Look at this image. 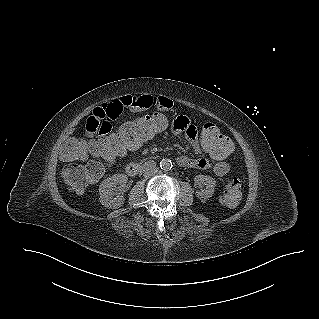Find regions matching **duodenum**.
Instances as JSON below:
<instances>
[{"instance_id": "410a0bca", "label": "duodenum", "mask_w": 319, "mask_h": 319, "mask_svg": "<svg viewBox=\"0 0 319 319\" xmlns=\"http://www.w3.org/2000/svg\"><path fill=\"white\" fill-rule=\"evenodd\" d=\"M155 163L153 161H147L145 163L130 162L126 165V172L129 176H137L144 171L154 168Z\"/></svg>"}]
</instances>
